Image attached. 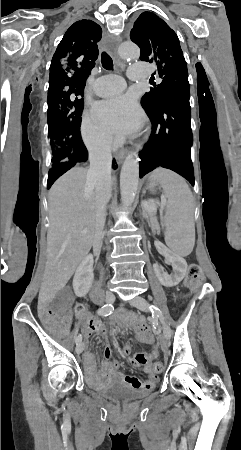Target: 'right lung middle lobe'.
<instances>
[{"label": "right lung middle lobe", "mask_w": 241, "mask_h": 450, "mask_svg": "<svg viewBox=\"0 0 241 450\" xmlns=\"http://www.w3.org/2000/svg\"><path fill=\"white\" fill-rule=\"evenodd\" d=\"M83 90L67 88L48 97V137L50 138L52 165L72 156V148L62 130L81 124L84 107Z\"/></svg>", "instance_id": "1"}]
</instances>
